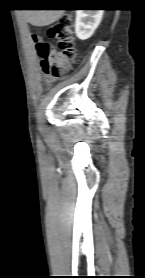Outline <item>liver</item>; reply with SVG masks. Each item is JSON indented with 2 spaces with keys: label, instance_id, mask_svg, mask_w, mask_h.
<instances>
[{
  "label": "liver",
  "instance_id": "liver-1",
  "mask_svg": "<svg viewBox=\"0 0 145 278\" xmlns=\"http://www.w3.org/2000/svg\"><path fill=\"white\" fill-rule=\"evenodd\" d=\"M63 14V10H24L26 21L39 27L54 23L59 20Z\"/></svg>",
  "mask_w": 145,
  "mask_h": 278
}]
</instances>
